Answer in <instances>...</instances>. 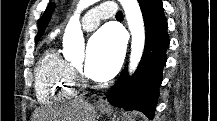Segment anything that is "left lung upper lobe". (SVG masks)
Wrapping results in <instances>:
<instances>
[{"instance_id": "5c2ea615", "label": "left lung upper lobe", "mask_w": 217, "mask_h": 121, "mask_svg": "<svg viewBox=\"0 0 217 121\" xmlns=\"http://www.w3.org/2000/svg\"><path fill=\"white\" fill-rule=\"evenodd\" d=\"M54 10V4H50L44 14L42 15L41 19L39 20V24H38V34H37V37H36V42H38V40L40 39V37L43 35L47 25H48V22L51 18V14Z\"/></svg>"}]
</instances>
